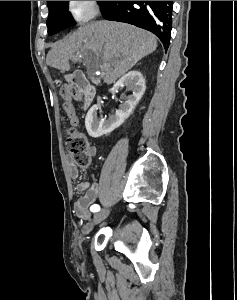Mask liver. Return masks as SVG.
Wrapping results in <instances>:
<instances>
[{
	"instance_id": "6515ba94",
	"label": "liver",
	"mask_w": 237,
	"mask_h": 300,
	"mask_svg": "<svg viewBox=\"0 0 237 300\" xmlns=\"http://www.w3.org/2000/svg\"><path fill=\"white\" fill-rule=\"evenodd\" d=\"M156 47L157 39L148 31L125 23L94 21L54 43L46 57V65L65 73L70 71L69 59L84 61L86 65L88 53H93L102 61L97 67L106 71L104 83H115L137 61L156 51ZM104 61H109L110 65Z\"/></svg>"
}]
</instances>
